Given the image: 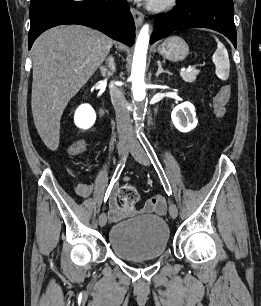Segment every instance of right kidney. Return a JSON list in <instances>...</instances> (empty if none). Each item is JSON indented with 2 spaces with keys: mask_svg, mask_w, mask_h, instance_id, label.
<instances>
[{
  "mask_svg": "<svg viewBox=\"0 0 261 306\" xmlns=\"http://www.w3.org/2000/svg\"><path fill=\"white\" fill-rule=\"evenodd\" d=\"M96 121V113L91 105H80L74 115L75 125L81 129H89Z\"/></svg>",
  "mask_w": 261,
  "mask_h": 306,
  "instance_id": "right-kidney-1",
  "label": "right kidney"
}]
</instances>
